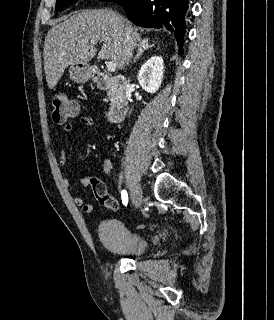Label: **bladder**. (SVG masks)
<instances>
[{
    "mask_svg": "<svg viewBox=\"0 0 274 320\" xmlns=\"http://www.w3.org/2000/svg\"><path fill=\"white\" fill-rule=\"evenodd\" d=\"M98 235L104 247L116 256L139 257L149 249V241L143 234L129 229L117 219L102 221Z\"/></svg>",
    "mask_w": 274,
    "mask_h": 320,
    "instance_id": "obj_1",
    "label": "bladder"
}]
</instances>
